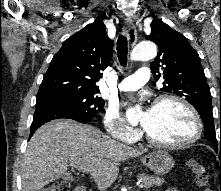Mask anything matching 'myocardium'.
I'll list each match as a JSON object with an SVG mask.
<instances>
[{"mask_svg":"<svg viewBox=\"0 0 221 191\" xmlns=\"http://www.w3.org/2000/svg\"><path fill=\"white\" fill-rule=\"evenodd\" d=\"M165 101L177 102L188 110V112L191 114L194 120V124H195L194 134L185 141L171 143V142H164V141L156 140L152 136H150L145 130H143V136L145 140L152 146L159 147V148H167V149L186 148L194 144L198 140H200L203 134V122L196 108L189 101L175 94H162L158 96L154 100L152 107L154 108Z\"/></svg>","mask_w":221,"mask_h":191,"instance_id":"f54148a6","label":"myocardium"}]
</instances>
